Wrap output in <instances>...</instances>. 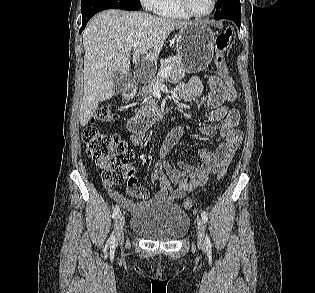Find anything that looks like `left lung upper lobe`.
<instances>
[{"label": "left lung upper lobe", "mask_w": 315, "mask_h": 293, "mask_svg": "<svg viewBox=\"0 0 315 293\" xmlns=\"http://www.w3.org/2000/svg\"><path fill=\"white\" fill-rule=\"evenodd\" d=\"M216 20L241 18V5L239 0H217V8L214 15Z\"/></svg>", "instance_id": "5c2ea615"}]
</instances>
